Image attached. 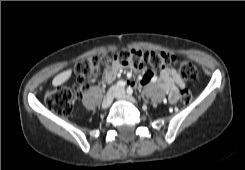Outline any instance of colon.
<instances>
[{
    "label": "colon",
    "mask_w": 245,
    "mask_h": 170,
    "mask_svg": "<svg viewBox=\"0 0 245 170\" xmlns=\"http://www.w3.org/2000/svg\"><path fill=\"white\" fill-rule=\"evenodd\" d=\"M175 61V56L169 53L144 51L137 49L124 50L116 55H104L101 57H87L76 66L77 80L72 87L60 85L47 91L44 95L45 104L59 115H69L73 110L74 101L86 91L92 79L97 78L104 68L108 66H120L127 69L152 68L159 70ZM180 75L188 80L196 78V67L183 61L179 67ZM192 94L183 89L180 93V102L188 105L192 102Z\"/></svg>",
    "instance_id": "5ec220e1"
}]
</instances>
